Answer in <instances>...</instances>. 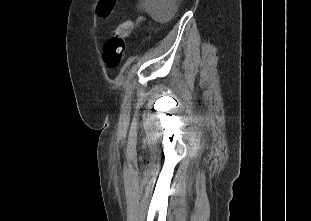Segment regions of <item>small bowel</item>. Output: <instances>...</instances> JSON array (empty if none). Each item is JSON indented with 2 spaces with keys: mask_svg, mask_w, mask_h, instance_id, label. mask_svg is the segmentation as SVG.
Returning a JSON list of instances; mask_svg holds the SVG:
<instances>
[{
  "mask_svg": "<svg viewBox=\"0 0 311 221\" xmlns=\"http://www.w3.org/2000/svg\"><path fill=\"white\" fill-rule=\"evenodd\" d=\"M143 20H144L143 17H139V18L136 20L135 25H139Z\"/></svg>",
  "mask_w": 311,
  "mask_h": 221,
  "instance_id": "small-bowel-1",
  "label": "small bowel"
}]
</instances>
